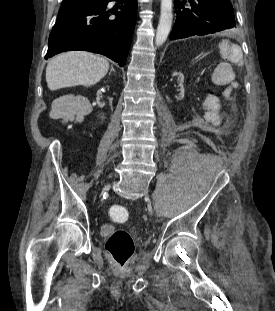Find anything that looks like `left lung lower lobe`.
<instances>
[{"label": "left lung lower lobe", "instance_id": "left-lung-lower-lobe-1", "mask_svg": "<svg viewBox=\"0 0 275 311\" xmlns=\"http://www.w3.org/2000/svg\"><path fill=\"white\" fill-rule=\"evenodd\" d=\"M176 21L170 39L207 35L236 26L230 0H176Z\"/></svg>", "mask_w": 275, "mask_h": 311}]
</instances>
